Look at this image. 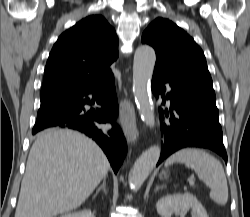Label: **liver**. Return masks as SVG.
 Listing matches in <instances>:
<instances>
[{
    "label": "liver",
    "instance_id": "obj_1",
    "mask_svg": "<svg viewBox=\"0 0 250 217\" xmlns=\"http://www.w3.org/2000/svg\"><path fill=\"white\" fill-rule=\"evenodd\" d=\"M109 169L103 151L85 135L41 132L28 156L15 217H54L78 208Z\"/></svg>",
    "mask_w": 250,
    "mask_h": 217
}]
</instances>
